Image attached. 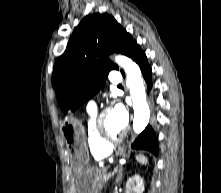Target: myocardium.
<instances>
[{"mask_svg":"<svg viewBox=\"0 0 221 193\" xmlns=\"http://www.w3.org/2000/svg\"><path fill=\"white\" fill-rule=\"evenodd\" d=\"M111 109L106 107L102 109L96 116L94 131L98 139L106 146L112 147L113 145L119 144L127 135V129H124L123 133L119 136H108L104 128V118Z\"/></svg>","mask_w":221,"mask_h":193,"instance_id":"f54148a6","label":"myocardium"}]
</instances>
